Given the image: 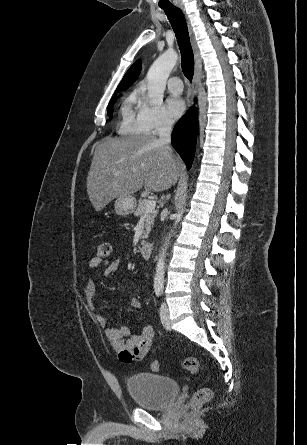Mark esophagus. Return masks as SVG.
I'll return each instance as SVG.
<instances>
[{
  "label": "esophagus",
  "instance_id": "esophagus-1",
  "mask_svg": "<svg viewBox=\"0 0 307 445\" xmlns=\"http://www.w3.org/2000/svg\"><path fill=\"white\" fill-rule=\"evenodd\" d=\"M176 7H178L185 15V19L187 22V27H188V31H189V35H190V39H191V45H192L193 54H194V76H193L191 90H192V95L194 97L196 95L198 82H199V79H200L201 73H202V59H201V56L199 53V49H198V45H197V42L195 39L193 29H192L190 21L187 17L183 3H176Z\"/></svg>",
  "mask_w": 307,
  "mask_h": 445
}]
</instances>
